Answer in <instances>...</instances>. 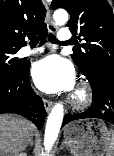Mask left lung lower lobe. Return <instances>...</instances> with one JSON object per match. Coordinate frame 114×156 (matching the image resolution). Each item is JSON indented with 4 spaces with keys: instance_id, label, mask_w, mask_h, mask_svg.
Wrapping results in <instances>:
<instances>
[{
    "instance_id": "left-lung-lower-lobe-1",
    "label": "left lung lower lobe",
    "mask_w": 114,
    "mask_h": 156,
    "mask_svg": "<svg viewBox=\"0 0 114 156\" xmlns=\"http://www.w3.org/2000/svg\"><path fill=\"white\" fill-rule=\"evenodd\" d=\"M93 89L90 108L80 114H66L62 127L70 121L84 118H99L114 124V75L88 79Z\"/></svg>"
}]
</instances>
